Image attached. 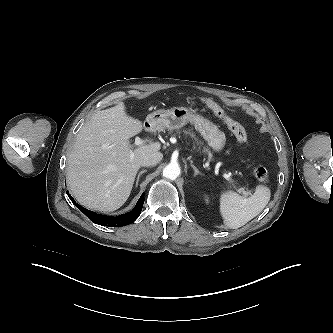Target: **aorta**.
<instances>
[{
	"label": "aorta",
	"instance_id": "762f6f07",
	"mask_svg": "<svg viewBox=\"0 0 333 333\" xmlns=\"http://www.w3.org/2000/svg\"><path fill=\"white\" fill-rule=\"evenodd\" d=\"M180 175V167L177 164L170 163L163 169V176L174 180Z\"/></svg>",
	"mask_w": 333,
	"mask_h": 333
}]
</instances>
